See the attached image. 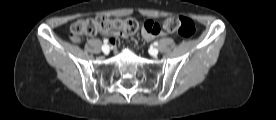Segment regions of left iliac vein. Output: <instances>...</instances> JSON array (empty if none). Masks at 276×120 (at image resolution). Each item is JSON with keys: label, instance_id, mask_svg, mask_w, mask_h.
I'll list each match as a JSON object with an SVG mask.
<instances>
[{"label": "left iliac vein", "instance_id": "1", "mask_svg": "<svg viewBox=\"0 0 276 120\" xmlns=\"http://www.w3.org/2000/svg\"><path fill=\"white\" fill-rule=\"evenodd\" d=\"M149 52H150V54H151L152 56H157L158 53H159V51H158L157 48H151V49L149 50Z\"/></svg>", "mask_w": 276, "mask_h": 120}]
</instances>
